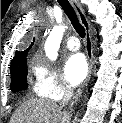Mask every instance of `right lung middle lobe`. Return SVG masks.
Here are the masks:
<instances>
[{"instance_id": "obj_1", "label": "right lung middle lobe", "mask_w": 122, "mask_h": 123, "mask_svg": "<svg viewBox=\"0 0 122 123\" xmlns=\"http://www.w3.org/2000/svg\"><path fill=\"white\" fill-rule=\"evenodd\" d=\"M11 72V90L12 92H18L27 88V64L26 61L19 66L10 70Z\"/></svg>"}]
</instances>
